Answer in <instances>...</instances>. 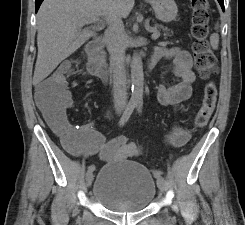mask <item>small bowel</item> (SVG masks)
<instances>
[{
  "instance_id": "1",
  "label": "small bowel",
  "mask_w": 245,
  "mask_h": 225,
  "mask_svg": "<svg viewBox=\"0 0 245 225\" xmlns=\"http://www.w3.org/2000/svg\"><path fill=\"white\" fill-rule=\"evenodd\" d=\"M158 58H166L172 61V74L178 79V83L172 86H160L158 90V102L164 106H179L189 99L192 93V84L196 76L192 70L191 55L179 48L157 47L154 52ZM69 61H63L59 65V70L68 69ZM39 102V85L36 93ZM40 105V104H39ZM41 106V105H40ZM73 107V99L69 90V97L65 111ZM44 113H47L42 106ZM55 120L63 128L71 127L74 133L71 136L72 146L69 150L76 156H92L97 154L103 162L134 159L141 154L140 144L128 143L124 136H116L106 140L102 133L95 129L94 124H78L67 122L60 115H55ZM189 139V132L186 127L175 124L172 127L169 144L173 147H181Z\"/></svg>"
}]
</instances>
